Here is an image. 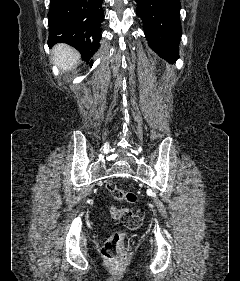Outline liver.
I'll return each instance as SVG.
<instances>
[{
  "label": "liver",
  "instance_id": "6515ba94",
  "mask_svg": "<svg viewBox=\"0 0 240 281\" xmlns=\"http://www.w3.org/2000/svg\"><path fill=\"white\" fill-rule=\"evenodd\" d=\"M54 63L62 70H69L79 60V53L66 44H58L53 48Z\"/></svg>",
  "mask_w": 240,
  "mask_h": 281
}]
</instances>
